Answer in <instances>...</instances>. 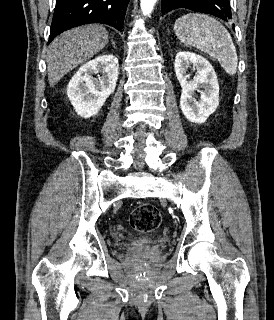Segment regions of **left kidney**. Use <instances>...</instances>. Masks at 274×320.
I'll return each mask as SVG.
<instances>
[{"label": "left kidney", "instance_id": "1", "mask_svg": "<svg viewBox=\"0 0 274 320\" xmlns=\"http://www.w3.org/2000/svg\"><path fill=\"white\" fill-rule=\"evenodd\" d=\"M190 66L197 70L193 82H188L187 72ZM174 70L182 88L180 98L182 114L189 122L204 124L219 106V84L215 70L206 58L192 52H178ZM195 90L200 92L199 100H195Z\"/></svg>", "mask_w": 274, "mask_h": 320}]
</instances>
